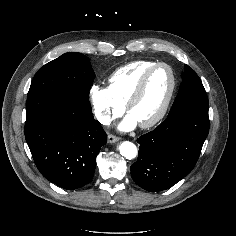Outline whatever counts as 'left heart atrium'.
I'll use <instances>...</instances> for the list:
<instances>
[{"label": "left heart atrium", "mask_w": 236, "mask_h": 236, "mask_svg": "<svg viewBox=\"0 0 236 236\" xmlns=\"http://www.w3.org/2000/svg\"><path fill=\"white\" fill-rule=\"evenodd\" d=\"M137 125V120L131 114H128L119 125V129L121 131H130L133 130Z\"/></svg>", "instance_id": "obj_1"}]
</instances>
